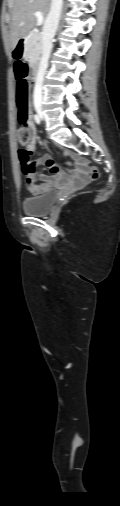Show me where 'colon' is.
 <instances>
[{
  "mask_svg": "<svg viewBox=\"0 0 120 506\" xmlns=\"http://www.w3.org/2000/svg\"><path fill=\"white\" fill-rule=\"evenodd\" d=\"M13 49L11 51V58L14 60L15 64L18 65L13 72V77L17 80L16 84V106H17V117L18 120L24 124V127L20 128L17 132V139L19 143L23 146L21 150V155L24 159H30L32 155V150L34 149L35 143L30 129L28 128V124L30 121L29 116V83L27 81V62L28 57L25 54L23 58H16L14 56ZM80 167L91 174L93 180L98 179L99 171L98 169L88 163L81 162Z\"/></svg>",
  "mask_w": 120,
  "mask_h": 506,
  "instance_id": "5ec220e1",
  "label": "colon"
}]
</instances>
